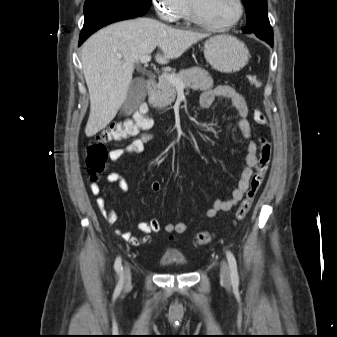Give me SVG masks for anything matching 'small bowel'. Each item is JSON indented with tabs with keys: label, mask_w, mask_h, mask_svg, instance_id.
Listing matches in <instances>:
<instances>
[{
	"label": "small bowel",
	"mask_w": 337,
	"mask_h": 337,
	"mask_svg": "<svg viewBox=\"0 0 337 337\" xmlns=\"http://www.w3.org/2000/svg\"><path fill=\"white\" fill-rule=\"evenodd\" d=\"M226 98L231 101L236 116L238 118L237 127L244 137V139L248 140L249 143L247 145V154L245 157V167L242 170L237 186L233 189L231 198L228 200L216 199L213 201L211 207L204 213L203 217L212 218L216 216L219 212H225L231 210L234 206H236L243 198L246 193L250 178L253 173V168L255 167L258 158H257V146L251 140L252 138V130L247 120V116L249 113V106L245 96L235 88L230 85H219L212 89H206L202 92L199 100V105L203 109L209 108L216 98ZM155 138L154 133L148 132L140 135L139 137L133 139L129 144L124 147L113 148L109 151L108 157L111 162H117L122 157L129 155L140 153L143 151L144 146L149 141ZM105 180L108 183L116 184L119 190L126 191L129 187L127 180L116 171H111L106 174ZM161 183L159 181H153L151 183V189L153 192H159L161 190ZM90 191L94 195H100L101 186L98 182H92L90 185ZM96 205L100 210L102 216L106 219V221L110 224H115L118 221V215L112 209H107L106 207V199L104 195H100L96 200ZM189 223L185 222H176V223H166L161 224L158 219L152 218L147 221H142L138 224V229L141 232V235H134L129 231H125L123 229H116L115 234L120 238L124 239L128 243L133 246H139L145 244L150 241V235L154 233H158L160 231H164L167 233H184L188 230Z\"/></svg>",
	"instance_id": "c3829d8e"
}]
</instances>
